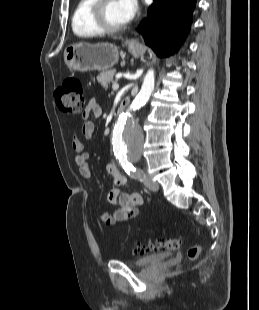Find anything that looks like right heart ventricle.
Listing matches in <instances>:
<instances>
[{"label":"right heart ventricle","mask_w":259,"mask_h":310,"mask_svg":"<svg viewBox=\"0 0 259 310\" xmlns=\"http://www.w3.org/2000/svg\"><path fill=\"white\" fill-rule=\"evenodd\" d=\"M95 0H79L72 16V30L75 35L82 38L99 35V31L92 24L90 19V9Z\"/></svg>","instance_id":"right-heart-ventricle-1"}]
</instances>
